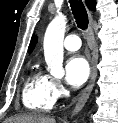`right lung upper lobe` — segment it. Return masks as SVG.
<instances>
[{"label":"right lung upper lobe","mask_w":118,"mask_h":123,"mask_svg":"<svg viewBox=\"0 0 118 123\" xmlns=\"http://www.w3.org/2000/svg\"><path fill=\"white\" fill-rule=\"evenodd\" d=\"M86 4H87L88 8H90L91 10H95L96 0H86ZM36 43H37V38L35 36H33L31 39L29 48H28L29 53L34 49Z\"/></svg>","instance_id":"right-lung-upper-lobe-1"}]
</instances>
